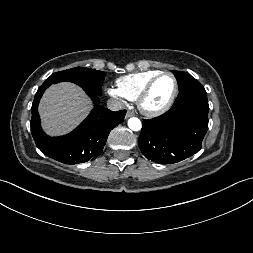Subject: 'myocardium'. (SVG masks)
<instances>
[{"instance_id": "f54148a6", "label": "myocardium", "mask_w": 253, "mask_h": 253, "mask_svg": "<svg viewBox=\"0 0 253 253\" xmlns=\"http://www.w3.org/2000/svg\"><path fill=\"white\" fill-rule=\"evenodd\" d=\"M165 75L172 77L173 82H174L173 91H172L170 97L168 98L166 103L164 105H162L161 107L155 108V109L148 108L146 106V100H147L154 84L157 82V80L159 78H161L162 76H165ZM177 94H178V80H177L176 76L170 71H161L157 75H155L152 79H150L148 81V83L145 85V87L143 88V90L141 91V93L139 94V96L136 100L137 106H138L139 110L145 116L158 117V116H161L164 113H166L172 107V105L177 97Z\"/></svg>"}]
</instances>
